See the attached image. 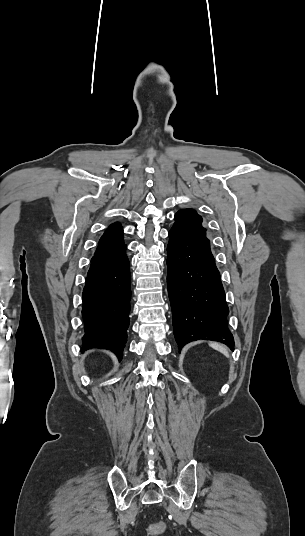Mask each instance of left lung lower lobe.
<instances>
[{
	"label": "left lung lower lobe",
	"mask_w": 305,
	"mask_h": 536,
	"mask_svg": "<svg viewBox=\"0 0 305 536\" xmlns=\"http://www.w3.org/2000/svg\"><path fill=\"white\" fill-rule=\"evenodd\" d=\"M167 285L174 335L181 350L195 340H212L233 350L229 313L209 241L169 231Z\"/></svg>",
	"instance_id": "1"
}]
</instances>
